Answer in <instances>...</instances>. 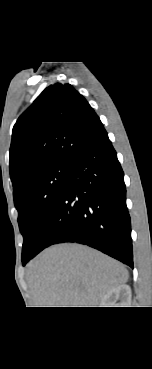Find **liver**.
<instances>
[{"label":"liver","mask_w":152,"mask_h":369,"mask_svg":"<svg viewBox=\"0 0 152 369\" xmlns=\"http://www.w3.org/2000/svg\"><path fill=\"white\" fill-rule=\"evenodd\" d=\"M27 276L36 307H97L112 288L127 282L129 273L97 250L59 244L31 261Z\"/></svg>","instance_id":"obj_1"}]
</instances>
